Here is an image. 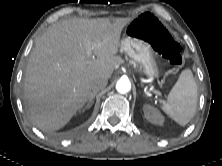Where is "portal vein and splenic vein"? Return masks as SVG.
<instances>
[{"label": "portal vein and splenic vein", "instance_id": "1", "mask_svg": "<svg viewBox=\"0 0 222 166\" xmlns=\"http://www.w3.org/2000/svg\"><path fill=\"white\" fill-rule=\"evenodd\" d=\"M156 94H160L158 91H155Z\"/></svg>", "mask_w": 222, "mask_h": 166}]
</instances>
